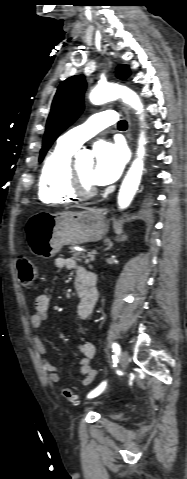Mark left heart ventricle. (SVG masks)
I'll return each instance as SVG.
<instances>
[{
  "label": "left heart ventricle",
  "instance_id": "1",
  "mask_svg": "<svg viewBox=\"0 0 187 479\" xmlns=\"http://www.w3.org/2000/svg\"><path fill=\"white\" fill-rule=\"evenodd\" d=\"M78 172L82 176V178L87 182L88 184H93L92 181V172H93V164L92 162H86L82 163L76 166Z\"/></svg>",
  "mask_w": 187,
  "mask_h": 479
}]
</instances>
